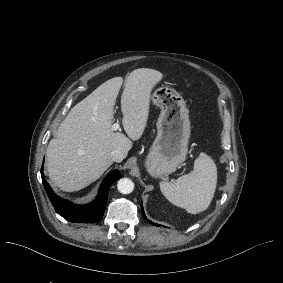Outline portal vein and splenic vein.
Instances as JSON below:
<instances>
[{
	"mask_svg": "<svg viewBox=\"0 0 283 283\" xmlns=\"http://www.w3.org/2000/svg\"><path fill=\"white\" fill-rule=\"evenodd\" d=\"M119 127H120V125H119L118 122H117V123H114V124L112 125V130H113V131H116V130L119 129Z\"/></svg>",
	"mask_w": 283,
	"mask_h": 283,
	"instance_id": "obj_1",
	"label": "portal vein and splenic vein"
}]
</instances>
